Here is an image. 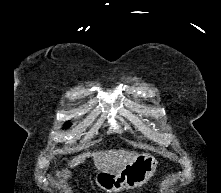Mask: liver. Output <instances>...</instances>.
Instances as JSON below:
<instances>
[{
    "label": "liver",
    "instance_id": "1",
    "mask_svg": "<svg viewBox=\"0 0 221 193\" xmlns=\"http://www.w3.org/2000/svg\"><path fill=\"white\" fill-rule=\"evenodd\" d=\"M93 156L94 164L97 170H105L116 172L121 170L127 163L134 160L138 154L136 152L113 149L105 151H95L92 154L90 152L80 154L69 162L71 167L77 166L85 161L89 156Z\"/></svg>",
    "mask_w": 221,
    "mask_h": 193
}]
</instances>
